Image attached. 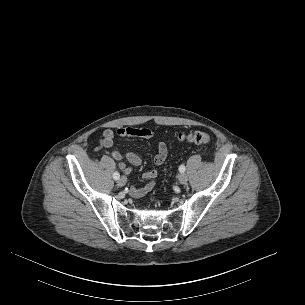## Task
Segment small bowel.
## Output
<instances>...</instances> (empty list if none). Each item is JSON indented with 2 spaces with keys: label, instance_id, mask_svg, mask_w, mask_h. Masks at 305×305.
<instances>
[{
  "label": "small bowel",
  "instance_id": "1",
  "mask_svg": "<svg viewBox=\"0 0 305 305\" xmlns=\"http://www.w3.org/2000/svg\"><path fill=\"white\" fill-rule=\"evenodd\" d=\"M154 135V132L148 128H134V127H120L115 131L112 129H106L102 134L101 144L106 149H111V156L118 161H122L124 158L133 166H139L142 164V156L134 152L123 153L118 147L115 146V137H140L143 139H150ZM168 155V149L165 142L160 141L157 146V153L154 157V163L156 165H162ZM119 168L126 174H130L132 169L125 163L120 162ZM157 176V170L151 169L143 173V178L149 180V182L141 187H131L130 193L136 198H140L149 193L155 186L153 181Z\"/></svg>",
  "mask_w": 305,
  "mask_h": 305
}]
</instances>
